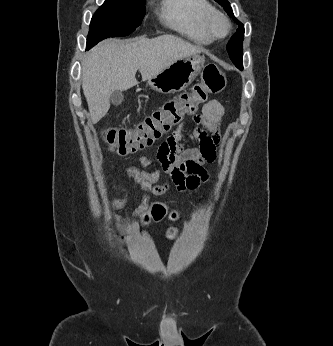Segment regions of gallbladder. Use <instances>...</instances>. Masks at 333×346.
<instances>
[{"mask_svg": "<svg viewBox=\"0 0 333 346\" xmlns=\"http://www.w3.org/2000/svg\"><path fill=\"white\" fill-rule=\"evenodd\" d=\"M123 100H124V95L119 90H116L110 94V102L115 106L120 105L123 102Z\"/></svg>", "mask_w": 333, "mask_h": 346, "instance_id": "obj_1", "label": "gallbladder"}]
</instances>
